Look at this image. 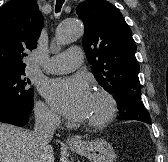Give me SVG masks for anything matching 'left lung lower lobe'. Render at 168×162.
Wrapping results in <instances>:
<instances>
[{
    "mask_svg": "<svg viewBox=\"0 0 168 162\" xmlns=\"http://www.w3.org/2000/svg\"><path fill=\"white\" fill-rule=\"evenodd\" d=\"M118 109L121 112L124 111L120 116L117 117L118 119L138 120L147 124H151L150 115L141 101L133 102L131 99H128L125 102L119 103Z\"/></svg>",
    "mask_w": 168,
    "mask_h": 162,
    "instance_id": "left-lung-lower-lobe-1",
    "label": "left lung lower lobe"
}]
</instances>
